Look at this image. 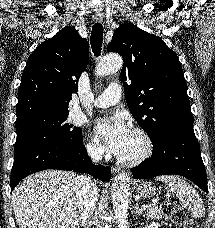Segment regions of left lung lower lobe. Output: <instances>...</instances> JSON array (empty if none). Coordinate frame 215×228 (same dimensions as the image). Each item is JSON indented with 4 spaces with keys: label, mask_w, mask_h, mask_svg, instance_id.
<instances>
[{
    "label": "left lung lower lobe",
    "mask_w": 215,
    "mask_h": 228,
    "mask_svg": "<svg viewBox=\"0 0 215 228\" xmlns=\"http://www.w3.org/2000/svg\"><path fill=\"white\" fill-rule=\"evenodd\" d=\"M135 179L182 175L208 193L205 166L193 125L168 130L153 143L150 159L131 169Z\"/></svg>",
    "instance_id": "0a47b994"
}]
</instances>
